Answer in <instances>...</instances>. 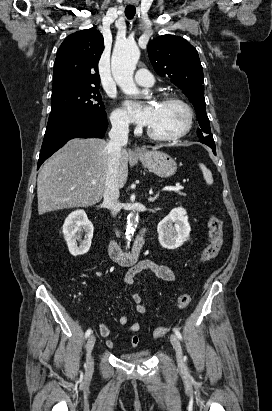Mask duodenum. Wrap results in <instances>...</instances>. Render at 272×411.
I'll return each instance as SVG.
<instances>
[{
    "instance_id": "410a0bca",
    "label": "duodenum",
    "mask_w": 272,
    "mask_h": 411,
    "mask_svg": "<svg viewBox=\"0 0 272 411\" xmlns=\"http://www.w3.org/2000/svg\"><path fill=\"white\" fill-rule=\"evenodd\" d=\"M146 232L147 230L144 228L138 233L130 251L122 250L114 241L110 242L109 254L111 258L123 266L134 264L144 249Z\"/></svg>"
}]
</instances>
